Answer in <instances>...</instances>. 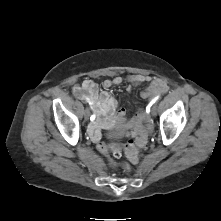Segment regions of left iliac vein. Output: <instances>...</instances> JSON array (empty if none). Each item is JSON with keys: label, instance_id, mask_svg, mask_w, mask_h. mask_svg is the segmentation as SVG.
<instances>
[{"label": "left iliac vein", "instance_id": "1", "mask_svg": "<svg viewBox=\"0 0 221 221\" xmlns=\"http://www.w3.org/2000/svg\"><path fill=\"white\" fill-rule=\"evenodd\" d=\"M152 115L155 116L156 115V107L152 108Z\"/></svg>", "mask_w": 221, "mask_h": 221}]
</instances>
